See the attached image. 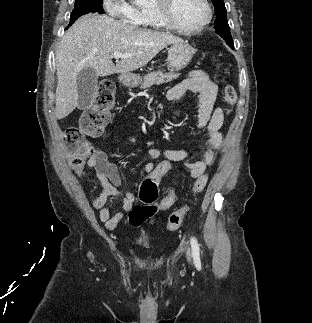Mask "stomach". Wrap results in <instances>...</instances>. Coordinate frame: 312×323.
<instances>
[{
	"instance_id": "stomach-1",
	"label": "stomach",
	"mask_w": 312,
	"mask_h": 323,
	"mask_svg": "<svg viewBox=\"0 0 312 323\" xmlns=\"http://www.w3.org/2000/svg\"><path fill=\"white\" fill-rule=\"evenodd\" d=\"M194 54V48L189 46L187 42H183V40H181V42H174V44H171L169 48L167 68H170L171 72H177V70L186 68L189 62H191ZM119 80L124 84V86H128V88H136V86L141 82V76L127 72V74H122Z\"/></svg>"
}]
</instances>
